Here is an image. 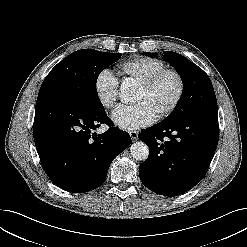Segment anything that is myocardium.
Returning a JSON list of instances; mask_svg holds the SVG:
<instances>
[{
	"mask_svg": "<svg viewBox=\"0 0 247 247\" xmlns=\"http://www.w3.org/2000/svg\"><path fill=\"white\" fill-rule=\"evenodd\" d=\"M167 74H172L176 77L178 81V90L172 102L158 114V117L160 119H163L172 114L182 101L186 89V84L183 75L176 69L164 68L139 82L140 86H142L145 89H149L150 87L155 85L160 78Z\"/></svg>",
	"mask_w": 247,
	"mask_h": 247,
	"instance_id": "obj_1",
	"label": "myocardium"
}]
</instances>
